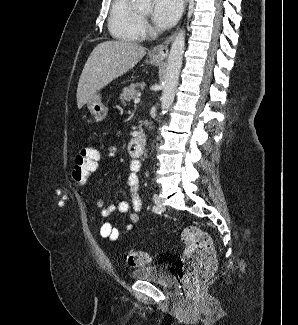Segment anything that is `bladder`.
<instances>
[{"label": "bladder", "mask_w": 298, "mask_h": 325, "mask_svg": "<svg viewBox=\"0 0 298 325\" xmlns=\"http://www.w3.org/2000/svg\"><path fill=\"white\" fill-rule=\"evenodd\" d=\"M134 280L147 281L165 288H171L174 285L172 275L160 265H148L140 267L131 273Z\"/></svg>", "instance_id": "obj_1"}]
</instances>
